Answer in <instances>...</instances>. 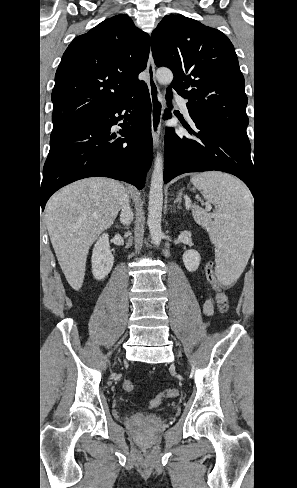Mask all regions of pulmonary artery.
<instances>
[{
  "label": "pulmonary artery",
  "mask_w": 297,
  "mask_h": 488,
  "mask_svg": "<svg viewBox=\"0 0 297 488\" xmlns=\"http://www.w3.org/2000/svg\"><path fill=\"white\" fill-rule=\"evenodd\" d=\"M175 100L178 103V105L180 106V108L182 109L183 113L186 116H189L188 105H187L188 101L180 95H176Z\"/></svg>",
  "instance_id": "obj_1"
}]
</instances>
